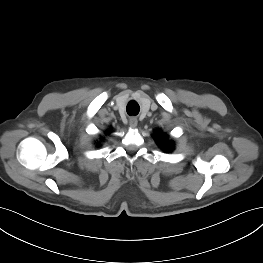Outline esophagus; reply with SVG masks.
Wrapping results in <instances>:
<instances>
[{
  "mask_svg": "<svg viewBox=\"0 0 263 263\" xmlns=\"http://www.w3.org/2000/svg\"><path fill=\"white\" fill-rule=\"evenodd\" d=\"M129 124H130V126H131L132 128H135V127L137 126V124H138L137 118H136V117H131V118L129 119Z\"/></svg>",
  "mask_w": 263,
  "mask_h": 263,
  "instance_id": "esophagus-1",
  "label": "esophagus"
}]
</instances>
